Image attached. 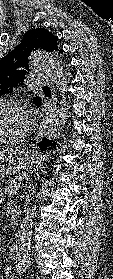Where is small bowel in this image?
<instances>
[{
    "mask_svg": "<svg viewBox=\"0 0 113 279\" xmlns=\"http://www.w3.org/2000/svg\"><path fill=\"white\" fill-rule=\"evenodd\" d=\"M0 197L2 198V193H1V191H0ZM4 274H5V277L6 278H9V279H14V276H13V274H12V271H11V269H6L5 271H4Z\"/></svg>",
    "mask_w": 113,
    "mask_h": 279,
    "instance_id": "obj_1",
    "label": "small bowel"
}]
</instances>
